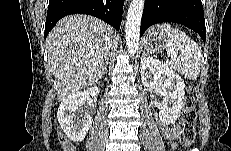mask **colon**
Here are the masks:
<instances>
[{
	"label": "colon",
	"mask_w": 231,
	"mask_h": 151,
	"mask_svg": "<svg viewBox=\"0 0 231 151\" xmlns=\"http://www.w3.org/2000/svg\"><path fill=\"white\" fill-rule=\"evenodd\" d=\"M197 119V114L195 110V100L192 96L185 98L183 105V112L181 116L182 120V140L185 145H191L196 137L195 123ZM59 142L63 147L70 150L71 146L67 138L59 134Z\"/></svg>",
	"instance_id": "obj_1"
}]
</instances>
